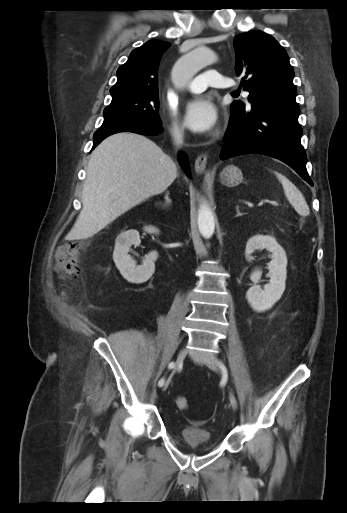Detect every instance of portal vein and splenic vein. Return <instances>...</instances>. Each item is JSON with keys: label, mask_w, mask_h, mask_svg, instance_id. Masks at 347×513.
Masks as SVG:
<instances>
[{"label": "portal vein and splenic vein", "mask_w": 347, "mask_h": 513, "mask_svg": "<svg viewBox=\"0 0 347 513\" xmlns=\"http://www.w3.org/2000/svg\"><path fill=\"white\" fill-rule=\"evenodd\" d=\"M270 203L273 204V205L277 204L276 201H270ZM259 205H262V202Z\"/></svg>", "instance_id": "portal-vein-and-splenic-vein-1"}]
</instances>
